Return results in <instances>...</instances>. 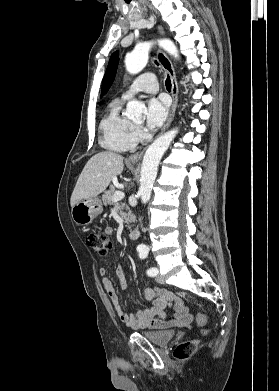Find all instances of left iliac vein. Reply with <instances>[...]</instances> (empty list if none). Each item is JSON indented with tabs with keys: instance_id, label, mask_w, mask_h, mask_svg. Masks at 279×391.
Segmentation results:
<instances>
[{
	"instance_id": "4c4485c4",
	"label": "left iliac vein",
	"mask_w": 279,
	"mask_h": 391,
	"mask_svg": "<svg viewBox=\"0 0 279 391\" xmlns=\"http://www.w3.org/2000/svg\"><path fill=\"white\" fill-rule=\"evenodd\" d=\"M155 279H156V281H157L158 283H160V284H163V283H164V279H163L162 276L159 275V274L156 276Z\"/></svg>"
}]
</instances>
